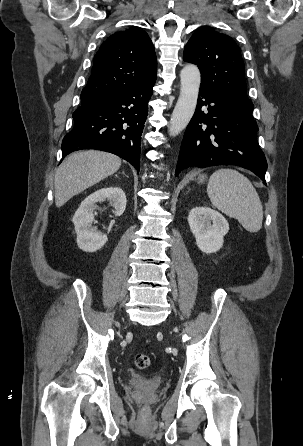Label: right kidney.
I'll return each mask as SVG.
<instances>
[{"instance_id":"right-kidney-1","label":"right kidney","mask_w":303,"mask_h":446,"mask_svg":"<svg viewBox=\"0 0 303 446\" xmlns=\"http://www.w3.org/2000/svg\"><path fill=\"white\" fill-rule=\"evenodd\" d=\"M109 201L114 207L115 216L123 214L126 208V196L121 188H102L90 194L84 199L73 216V224L77 234L79 249L85 252H96L107 242L106 234H102L92 226L94 221V210L98 207L97 202Z\"/></svg>"}]
</instances>
